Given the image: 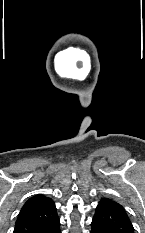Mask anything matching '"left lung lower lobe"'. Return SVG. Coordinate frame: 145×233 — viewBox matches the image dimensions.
<instances>
[{
    "instance_id": "left-lung-lower-lobe-1",
    "label": "left lung lower lobe",
    "mask_w": 145,
    "mask_h": 233,
    "mask_svg": "<svg viewBox=\"0 0 145 233\" xmlns=\"http://www.w3.org/2000/svg\"><path fill=\"white\" fill-rule=\"evenodd\" d=\"M91 233H110L101 225H99L96 221L92 220L91 223Z\"/></svg>"
}]
</instances>
